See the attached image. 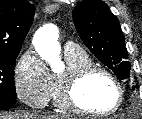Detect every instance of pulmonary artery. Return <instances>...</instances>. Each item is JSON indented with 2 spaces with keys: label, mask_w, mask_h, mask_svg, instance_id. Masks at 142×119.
Returning a JSON list of instances; mask_svg holds the SVG:
<instances>
[{
  "label": "pulmonary artery",
  "mask_w": 142,
  "mask_h": 119,
  "mask_svg": "<svg viewBox=\"0 0 142 119\" xmlns=\"http://www.w3.org/2000/svg\"><path fill=\"white\" fill-rule=\"evenodd\" d=\"M81 49L79 48V46L71 41H68L64 44V51L65 53H74V52H78Z\"/></svg>",
  "instance_id": "e3ab8cb5"
}]
</instances>
